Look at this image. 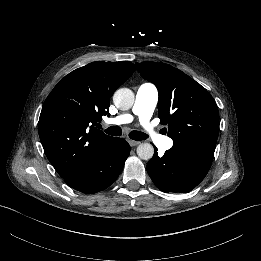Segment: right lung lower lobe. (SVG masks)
Returning <instances> with one entry per match:
<instances>
[{"mask_svg":"<svg viewBox=\"0 0 261 261\" xmlns=\"http://www.w3.org/2000/svg\"><path fill=\"white\" fill-rule=\"evenodd\" d=\"M130 150L124 139L114 137L100 157L71 173L64 181L71 188L86 194L102 191L119 176Z\"/></svg>","mask_w":261,"mask_h":261,"instance_id":"1","label":"right lung lower lobe"}]
</instances>
